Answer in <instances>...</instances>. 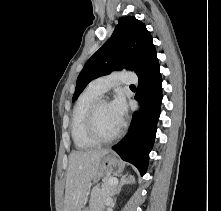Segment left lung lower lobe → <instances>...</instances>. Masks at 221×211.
Listing matches in <instances>:
<instances>
[{
	"label": "left lung lower lobe",
	"mask_w": 221,
	"mask_h": 211,
	"mask_svg": "<svg viewBox=\"0 0 221 211\" xmlns=\"http://www.w3.org/2000/svg\"><path fill=\"white\" fill-rule=\"evenodd\" d=\"M138 77L139 85L135 99L141 102V109L138 116L136 113L133 115V121L137 116V123L131 124L125 138L112 149L123 160L135 165L143 175L147 170L162 102V78L156 54L149 59Z\"/></svg>",
	"instance_id": "0a47b994"
}]
</instances>
